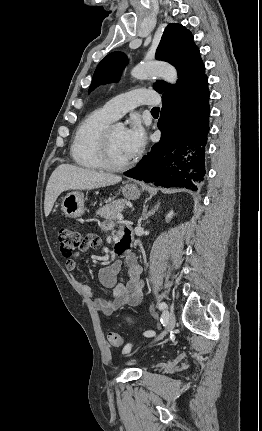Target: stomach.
Here are the masks:
<instances>
[{"label": "stomach", "mask_w": 262, "mask_h": 431, "mask_svg": "<svg viewBox=\"0 0 262 431\" xmlns=\"http://www.w3.org/2000/svg\"><path fill=\"white\" fill-rule=\"evenodd\" d=\"M123 196L128 200H137L141 190L136 184H125L122 188ZM84 194L80 191L69 192L62 200L61 208L69 218H78L84 213Z\"/></svg>", "instance_id": "stomach-1"}]
</instances>
